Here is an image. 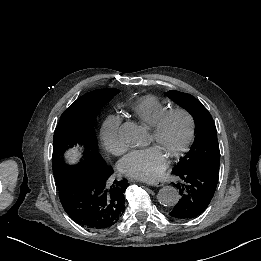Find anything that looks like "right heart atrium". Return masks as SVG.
<instances>
[{"instance_id":"d8ad5b80","label":"right heart atrium","mask_w":261,"mask_h":261,"mask_svg":"<svg viewBox=\"0 0 261 261\" xmlns=\"http://www.w3.org/2000/svg\"><path fill=\"white\" fill-rule=\"evenodd\" d=\"M101 140L104 150L111 155L118 156L126 150L127 147L120 141L116 117L109 116L104 121L101 128Z\"/></svg>"}]
</instances>
